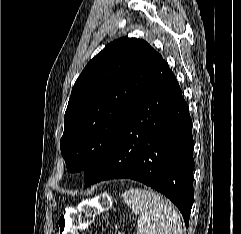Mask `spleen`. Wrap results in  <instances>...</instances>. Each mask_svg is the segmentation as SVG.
<instances>
[{
	"label": "spleen",
	"instance_id": "3e777b00",
	"mask_svg": "<svg viewBox=\"0 0 241 234\" xmlns=\"http://www.w3.org/2000/svg\"><path fill=\"white\" fill-rule=\"evenodd\" d=\"M122 198L138 215L137 234H183L173 205L152 189H129L122 193Z\"/></svg>",
	"mask_w": 241,
	"mask_h": 234
}]
</instances>
